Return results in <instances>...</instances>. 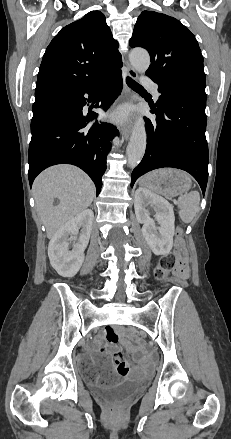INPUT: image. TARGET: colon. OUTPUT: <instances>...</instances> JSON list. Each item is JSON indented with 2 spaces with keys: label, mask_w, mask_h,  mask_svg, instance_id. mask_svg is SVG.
<instances>
[{
  "label": "colon",
  "mask_w": 231,
  "mask_h": 439,
  "mask_svg": "<svg viewBox=\"0 0 231 439\" xmlns=\"http://www.w3.org/2000/svg\"><path fill=\"white\" fill-rule=\"evenodd\" d=\"M175 242L176 246L174 252L163 256L160 260L157 271V275L160 278H164L169 272H175V274L181 278L187 276V254L183 245V229L181 227L176 231ZM126 332L130 336H135V331L133 329H127ZM128 370V366L122 363L117 367L115 372L120 376H124L127 374ZM114 380V377H105L101 379V382L111 383Z\"/></svg>",
  "instance_id": "obj_1"
}]
</instances>
